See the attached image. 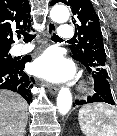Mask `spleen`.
I'll return each instance as SVG.
<instances>
[{"mask_svg":"<svg viewBox=\"0 0 117 136\" xmlns=\"http://www.w3.org/2000/svg\"><path fill=\"white\" fill-rule=\"evenodd\" d=\"M78 120L85 136H117V112L105 103L84 105Z\"/></svg>","mask_w":117,"mask_h":136,"instance_id":"spleen-1","label":"spleen"}]
</instances>
